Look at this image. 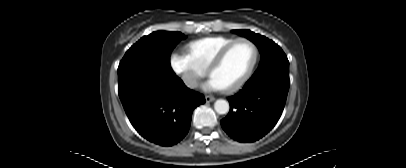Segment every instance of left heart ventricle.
I'll list each match as a JSON object with an SVG mask.
<instances>
[{"mask_svg":"<svg viewBox=\"0 0 406 168\" xmlns=\"http://www.w3.org/2000/svg\"><path fill=\"white\" fill-rule=\"evenodd\" d=\"M253 58V48L247 42L234 45L227 53L223 62L216 68L211 77L222 88L235 83L246 71Z\"/></svg>","mask_w":406,"mask_h":168,"instance_id":"1","label":"left heart ventricle"}]
</instances>
